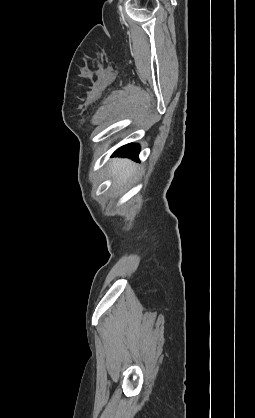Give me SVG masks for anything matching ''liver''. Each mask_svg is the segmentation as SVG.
<instances>
[{"mask_svg": "<svg viewBox=\"0 0 255 418\" xmlns=\"http://www.w3.org/2000/svg\"><path fill=\"white\" fill-rule=\"evenodd\" d=\"M112 175L116 176V182H126L136 172V166L129 160L116 159L111 165Z\"/></svg>", "mask_w": 255, "mask_h": 418, "instance_id": "1", "label": "liver"}]
</instances>
